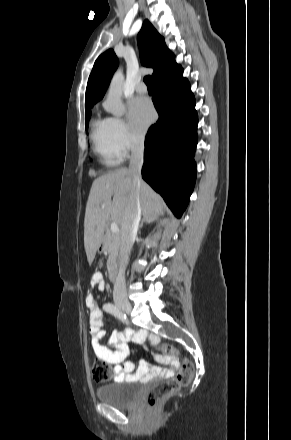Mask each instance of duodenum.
<instances>
[{
  "mask_svg": "<svg viewBox=\"0 0 291 440\" xmlns=\"http://www.w3.org/2000/svg\"><path fill=\"white\" fill-rule=\"evenodd\" d=\"M108 275L111 281L115 282L117 280V270L114 264L109 266Z\"/></svg>",
  "mask_w": 291,
  "mask_h": 440,
  "instance_id": "410a0bca",
  "label": "duodenum"
}]
</instances>
